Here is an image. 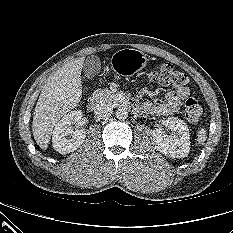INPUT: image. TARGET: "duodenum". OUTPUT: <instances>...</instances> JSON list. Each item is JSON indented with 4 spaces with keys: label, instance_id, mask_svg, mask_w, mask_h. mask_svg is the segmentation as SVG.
<instances>
[{
    "label": "duodenum",
    "instance_id": "1",
    "mask_svg": "<svg viewBox=\"0 0 233 233\" xmlns=\"http://www.w3.org/2000/svg\"><path fill=\"white\" fill-rule=\"evenodd\" d=\"M98 103H99V100H98V97H97V96H95V95L90 96V97L88 98V101H87V109H88L89 111H93L94 109L97 108ZM132 110H133L134 112H137L139 109H138L137 107H134V106H133V107H132Z\"/></svg>",
    "mask_w": 233,
    "mask_h": 233
}]
</instances>
